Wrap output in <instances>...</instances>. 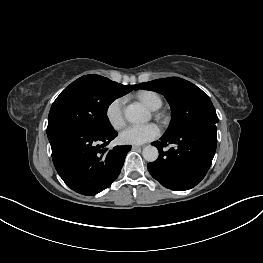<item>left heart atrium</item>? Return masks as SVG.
Listing matches in <instances>:
<instances>
[{"mask_svg":"<svg viewBox=\"0 0 263 263\" xmlns=\"http://www.w3.org/2000/svg\"><path fill=\"white\" fill-rule=\"evenodd\" d=\"M160 135V128L156 124L130 125L120 133V140L124 144L140 145L154 140Z\"/></svg>","mask_w":263,"mask_h":263,"instance_id":"left-heart-atrium-1","label":"left heart atrium"}]
</instances>
